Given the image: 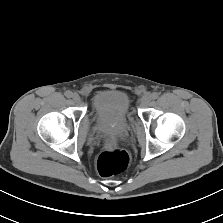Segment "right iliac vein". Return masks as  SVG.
Listing matches in <instances>:
<instances>
[{
	"instance_id": "right-iliac-vein-1",
	"label": "right iliac vein",
	"mask_w": 223,
	"mask_h": 223,
	"mask_svg": "<svg viewBox=\"0 0 223 223\" xmlns=\"http://www.w3.org/2000/svg\"><path fill=\"white\" fill-rule=\"evenodd\" d=\"M72 99L74 102H80V100H81L79 94H77V93L72 94Z\"/></svg>"
}]
</instances>
